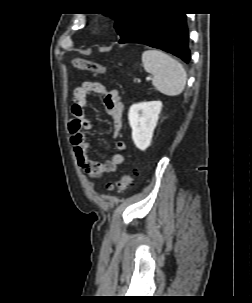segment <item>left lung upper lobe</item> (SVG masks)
Masks as SVG:
<instances>
[{"label":"left lung upper lobe","instance_id":"1","mask_svg":"<svg viewBox=\"0 0 252 303\" xmlns=\"http://www.w3.org/2000/svg\"><path fill=\"white\" fill-rule=\"evenodd\" d=\"M144 14L145 13L142 11H136L133 13H113L107 15H110L115 19V29L122 39L135 28Z\"/></svg>","mask_w":252,"mask_h":303}]
</instances>
